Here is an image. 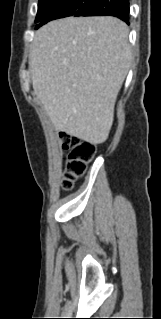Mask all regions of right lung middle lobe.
Listing matches in <instances>:
<instances>
[{"instance_id": "obj_1", "label": "right lung middle lobe", "mask_w": 161, "mask_h": 319, "mask_svg": "<svg viewBox=\"0 0 161 319\" xmlns=\"http://www.w3.org/2000/svg\"><path fill=\"white\" fill-rule=\"evenodd\" d=\"M95 0H39L35 19L36 28L58 18L81 16Z\"/></svg>"}]
</instances>
